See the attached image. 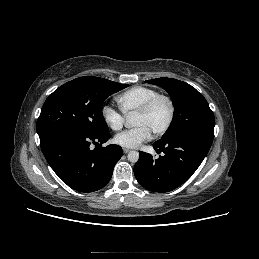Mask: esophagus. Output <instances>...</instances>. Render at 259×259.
Instances as JSON below:
<instances>
[{
	"label": "esophagus",
	"mask_w": 259,
	"mask_h": 259,
	"mask_svg": "<svg viewBox=\"0 0 259 259\" xmlns=\"http://www.w3.org/2000/svg\"><path fill=\"white\" fill-rule=\"evenodd\" d=\"M123 152H124L125 154H127V153H129V152H130V149L123 148Z\"/></svg>",
	"instance_id": "obj_1"
}]
</instances>
